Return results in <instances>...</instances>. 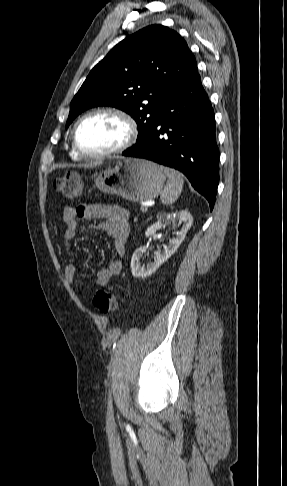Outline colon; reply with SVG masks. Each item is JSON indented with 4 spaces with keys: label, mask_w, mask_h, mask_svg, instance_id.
<instances>
[{
    "label": "colon",
    "mask_w": 287,
    "mask_h": 486,
    "mask_svg": "<svg viewBox=\"0 0 287 486\" xmlns=\"http://www.w3.org/2000/svg\"><path fill=\"white\" fill-rule=\"evenodd\" d=\"M54 189L67 198H76L83 191V181L76 173H66L54 180ZM94 307L102 314H110L117 309V298L106 290H97L93 296Z\"/></svg>",
    "instance_id": "colon-1"
}]
</instances>
